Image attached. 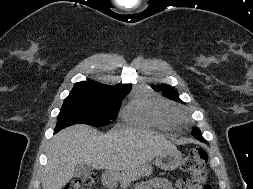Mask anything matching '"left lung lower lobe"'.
Here are the masks:
<instances>
[{"mask_svg":"<svg viewBox=\"0 0 253 189\" xmlns=\"http://www.w3.org/2000/svg\"><path fill=\"white\" fill-rule=\"evenodd\" d=\"M196 139H198L199 141H201V142H204V139H203V137H202V135L201 134H192Z\"/></svg>","mask_w":253,"mask_h":189,"instance_id":"left-lung-lower-lobe-1","label":"left lung lower lobe"}]
</instances>
